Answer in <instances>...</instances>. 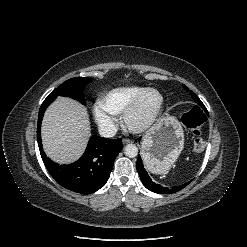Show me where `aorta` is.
<instances>
[{
	"mask_svg": "<svg viewBox=\"0 0 247 247\" xmlns=\"http://www.w3.org/2000/svg\"><path fill=\"white\" fill-rule=\"evenodd\" d=\"M124 153L127 157L134 158L138 155V148L134 144H128L124 149Z\"/></svg>",
	"mask_w": 247,
	"mask_h": 247,
	"instance_id": "1",
	"label": "aorta"
}]
</instances>
